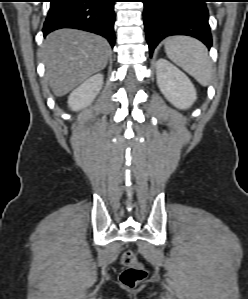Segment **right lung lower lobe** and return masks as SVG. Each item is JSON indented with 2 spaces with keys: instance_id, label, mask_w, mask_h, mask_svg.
Returning a JSON list of instances; mask_svg holds the SVG:
<instances>
[{
  "instance_id": "obj_1",
  "label": "right lung lower lobe",
  "mask_w": 248,
  "mask_h": 299,
  "mask_svg": "<svg viewBox=\"0 0 248 299\" xmlns=\"http://www.w3.org/2000/svg\"><path fill=\"white\" fill-rule=\"evenodd\" d=\"M115 0H51L43 34L75 28L105 37L114 46Z\"/></svg>"
}]
</instances>
